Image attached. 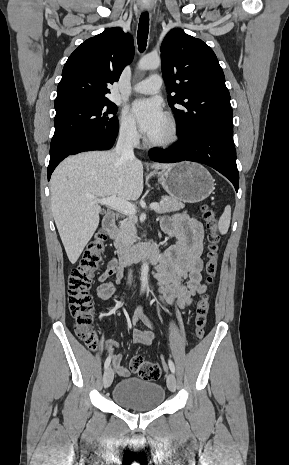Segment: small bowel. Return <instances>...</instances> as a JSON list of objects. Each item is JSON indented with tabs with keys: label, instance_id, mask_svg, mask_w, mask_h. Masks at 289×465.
Listing matches in <instances>:
<instances>
[{
	"label": "small bowel",
	"instance_id": "c3829d8e",
	"mask_svg": "<svg viewBox=\"0 0 289 465\" xmlns=\"http://www.w3.org/2000/svg\"><path fill=\"white\" fill-rule=\"evenodd\" d=\"M162 229L169 235L176 237L177 242L168 247L161 254L155 264V278L157 280L161 298L168 304L185 308L192 302L194 296L206 290L203 282L202 253L203 227L199 221L185 214H177L164 218ZM123 279V271L115 258H112L99 275V285L96 295L101 300L110 299L116 292V285ZM142 322L150 330L137 327ZM132 338L138 345H150L155 338L154 326L144 315L142 310L135 313L132 319ZM110 357L115 371L122 377H128L130 370L122 365V355L116 351L115 342L109 343Z\"/></svg>",
	"mask_w": 289,
	"mask_h": 465
}]
</instances>
